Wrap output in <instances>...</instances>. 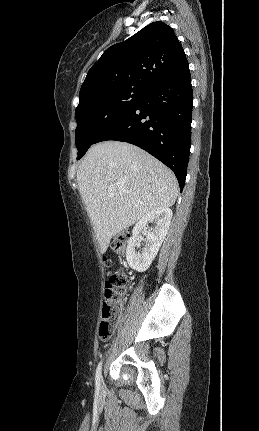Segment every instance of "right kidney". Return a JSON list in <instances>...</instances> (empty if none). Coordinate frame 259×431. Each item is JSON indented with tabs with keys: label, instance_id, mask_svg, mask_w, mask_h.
<instances>
[{
	"label": "right kidney",
	"instance_id": "1",
	"mask_svg": "<svg viewBox=\"0 0 259 431\" xmlns=\"http://www.w3.org/2000/svg\"><path fill=\"white\" fill-rule=\"evenodd\" d=\"M171 218L172 210L170 208H157L141 217L133 229L132 237L126 248V259L132 269L144 272L150 267L167 234ZM149 223H155V226L147 230ZM141 233L145 234L146 239L142 252L139 253L135 247L139 246L142 241Z\"/></svg>",
	"mask_w": 259,
	"mask_h": 431
}]
</instances>
